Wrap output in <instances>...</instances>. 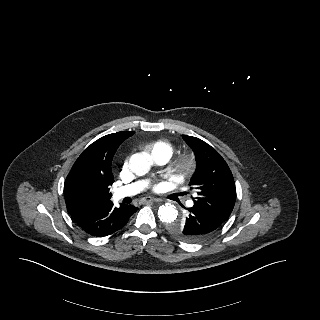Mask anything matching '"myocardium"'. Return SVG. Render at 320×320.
<instances>
[{
	"mask_svg": "<svg viewBox=\"0 0 320 320\" xmlns=\"http://www.w3.org/2000/svg\"><path fill=\"white\" fill-rule=\"evenodd\" d=\"M197 158L192 151H185L172 164L171 173L178 178L189 177L196 169Z\"/></svg>",
	"mask_w": 320,
	"mask_h": 320,
	"instance_id": "f54148a6",
	"label": "myocardium"
}]
</instances>
